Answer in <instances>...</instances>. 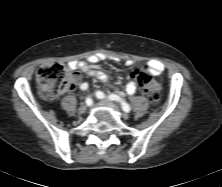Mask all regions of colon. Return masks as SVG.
<instances>
[{"mask_svg": "<svg viewBox=\"0 0 222 187\" xmlns=\"http://www.w3.org/2000/svg\"><path fill=\"white\" fill-rule=\"evenodd\" d=\"M76 74L68 67L58 62L43 64L37 72L41 96L45 100H54L62 93L73 88ZM136 81L149 101L156 104L160 100L159 84L150 74L139 71Z\"/></svg>", "mask_w": 222, "mask_h": 187, "instance_id": "colon-1", "label": "colon"}]
</instances>
